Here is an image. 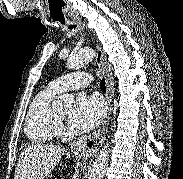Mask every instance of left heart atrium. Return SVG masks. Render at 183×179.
Wrapping results in <instances>:
<instances>
[{
  "mask_svg": "<svg viewBox=\"0 0 183 179\" xmlns=\"http://www.w3.org/2000/svg\"><path fill=\"white\" fill-rule=\"evenodd\" d=\"M104 115L105 107L99 98L81 95L75 102L74 109L68 118V124L77 132H87L95 128Z\"/></svg>",
  "mask_w": 183,
  "mask_h": 179,
  "instance_id": "1",
  "label": "left heart atrium"
}]
</instances>
